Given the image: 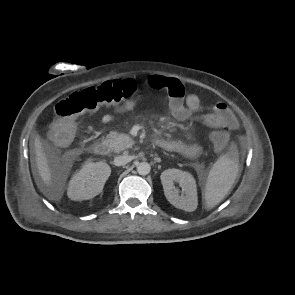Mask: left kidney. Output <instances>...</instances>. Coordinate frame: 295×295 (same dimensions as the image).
Masks as SVG:
<instances>
[{"label":"left kidney","instance_id":"1","mask_svg":"<svg viewBox=\"0 0 295 295\" xmlns=\"http://www.w3.org/2000/svg\"><path fill=\"white\" fill-rule=\"evenodd\" d=\"M160 179L165 197L173 206L187 212H192L197 208V186L190 173L172 168L163 171ZM174 183H179L182 189L181 195H179V190L174 186Z\"/></svg>","mask_w":295,"mask_h":295}]
</instances>
